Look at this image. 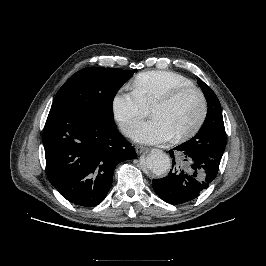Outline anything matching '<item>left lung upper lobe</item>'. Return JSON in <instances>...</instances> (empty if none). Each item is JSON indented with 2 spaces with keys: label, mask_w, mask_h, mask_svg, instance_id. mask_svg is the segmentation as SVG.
Instances as JSON below:
<instances>
[{
  "label": "left lung upper lobe",
  "mask_w": 266,
  "mask_h": 266,
  "mask_svg": "<svg viewBox=\"0 0 266 266\" xmlns=\"http://www.w3.org/2000/svg\"><path fill=\"white\" fill-rule=\"evenodd\" d=\"M198 84L207 99L208 111L200 131L184 145L190 150L221 160L226 146L221 105L209 86L201 81Z\"/></svg>",
  "instance_id": "1"
}]
</instances>
